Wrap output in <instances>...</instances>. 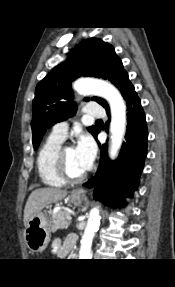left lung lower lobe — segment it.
<instances>
[{"label": "left lung lower lobe", "mask_w": 175, "mask_h": 287, "mask_svg": "<svg viewBox=\"0 0 175 287\" xmlns=\"http://www.w3.org/2000/svg\"><path fill=\"white\" fill-rule=\"evenodd\" d=\"M123 97L127 105L128 125L126 141L120 155L117 160L110 161L107 145H103L100 148V164L96 175L84 184L87 188H94L95 199L111 207H124L126 202L121 197H132L138 187L147 154L148 131L145 114L133 85L127 88ZM107 114H110L109 110Z\"/></svg>", "instance_id": "0a47b994"}]
</instances>
